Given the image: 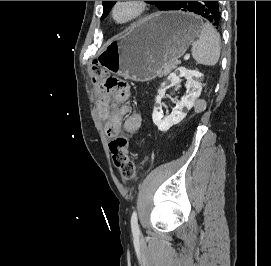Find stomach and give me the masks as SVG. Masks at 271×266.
Listing matches in <instances>:
<instances>
[{"mask_svg":"<svg viewBox=\"0 0 271 266\" xmlns=\"http://www.w3.org/2000/svg\"><path fill=\"white\" fill-rule=\"evenodd\" d=\"M200 32L199 18L189 12L151 15L107 42L98 62L109 72L134 81H150L187 50Z\"/></svg>","mask_w":271,"mask_h":266,"instance_id":"obj_1","label":"stomach"}]
</instances>
